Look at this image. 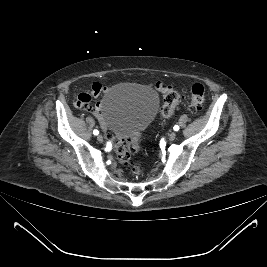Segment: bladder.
I'll return each instance as SVG.
<instances>
[{"mask_svg": "<svg viewBox=\"0 0 267 267\" xmlns=\"http://www.w3.org/2000/svg\"><path fill=\"white\" fill-rule=\"evenodd\" d=\"M158 99L149 89L133 83L112 87L103 97L102 121L117 137L142 132L154 119Z\"/></svg>", "mask_w": 267, "mask_h": 267, "instance_id": "1", "label": "bladder"}]
</instances>
